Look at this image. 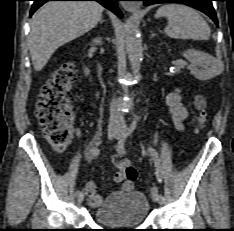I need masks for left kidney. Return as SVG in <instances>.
Listing matches in <instances>:
<instances>
[{
    "label": "left kidney",
    "mask_w": 234,
    "mask_h": 231,
    "mask_svg": "<svg viewBox=\"0 0 234 231\" xmlns=\"http://www.w3.org/2000/svg\"><path fill=\"white\" fill-rule=\"evenodd\" d=\"M182 55L190 63L191 74L199 80H210L220 75L224 70L221 61L205 52L189 49L184 51Z\"/></svg>",
    "instance_id": "left-kidney-1"
}]
</instances>
